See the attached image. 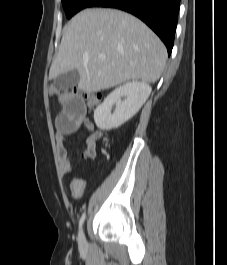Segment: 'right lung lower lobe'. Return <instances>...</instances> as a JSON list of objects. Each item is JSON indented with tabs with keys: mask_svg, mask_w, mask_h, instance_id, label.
<instances>
[{
	"mask_svg": "<svg viewBox=\"0 0 227 265\" xmlns=\"http://www.w3.org/2000/svg\"><path fill=\"white\" fill-rule=\"evenodd\" d=\"M88 7L118 8L137 16L160 37L170 56L180 0H93Z\"/></svg>",
	"mask_w": 227,
	"mask_h": 265,
	"instance_id": "right-lung-lower-lobe-1",
	"label": "right lung lower lobe"
}]
</instances>
